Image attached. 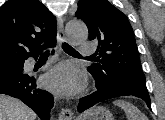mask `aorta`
Masks as SVG:
<instances>
[{
  "mask_svg": "<svg viewBox=\"0 0 165 120\" xmlns=\"http://www.w3.org/2000/svg\"><path fill=\"white\" fill-rule=\"evenodd\" d=\"M66 33L74 43L84 41L88 37V29L84 22L80 20H71L66 24Z\"/></svg>",
  "mask_w": 165,
  "mask_h": 120,
  "instance_id": "obj_1",
  "label": "aorta"
}]
</instances>
